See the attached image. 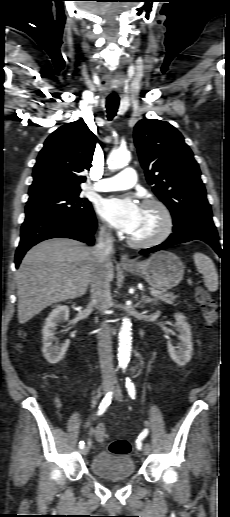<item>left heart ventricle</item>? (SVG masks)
<instances>
[{
	"label": "left heart ventricle",
	"mask_w": 230,
	"mask_h": 517,
	"mask_svg": "<svg viewBox=\"0 0 230 517\" xmlns=\"http://www.w3.org/2000/svg\"><path fill=\"white\" fill-rule=\"evenodd\" d=\"M162 227V217L154 206L142 207L140 219L130 236L136 239H148L156 235Z\"/></svg>",
	"instance_id": "obj_1"
}]
</instances>
